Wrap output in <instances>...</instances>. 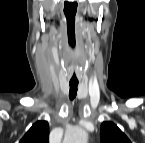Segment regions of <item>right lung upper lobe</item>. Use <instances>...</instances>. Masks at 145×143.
<instances>
[{"label": "right lung upper lobe", "mask_w": 145, "mask_h": 143, "mask_svg": "<svg viewBox=\"0 0 145 143\" xmlns=\"http://www.w3.org/2000/svg\"><path fill=\"white\" fill-rule=\"evenodd\" d=\"M20 143H49V125L47 121H38L32 125Z\"/></svg>", "instance_id": "obj_1"}]
</instances>
